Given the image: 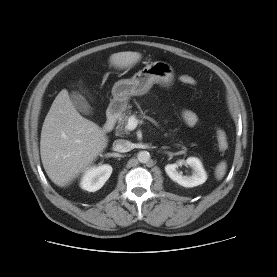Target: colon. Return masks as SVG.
Instances as JSON below:
<instances>
[{
	"mask_svg": "<svg viewBox=\"0 0 277 277\" xmlns=\"http://www.w3.org/2000/svg\"><path fill=\"white\" fill-rule=\"evenodd\" d=\"M179 79L182 83L188 85H194L196 83L193 77L186 74L181 75ZM216 140L219 150L225 152L229 147V140L226 132L220 127L216 128Z\"/></svg>",
	"mask_w": 277,
	"mask_h": 277,
	"instance_id": "colon-1",
	"label": "colon"
}]
</instances>
